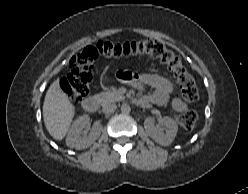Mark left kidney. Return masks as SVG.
I'll return each instance as SVG.
<instances>
[{"instance_id":"5707ae66","label":"left kidney","mask_w":248,"mask_h":194,"mask_svg":"<svg viewBox=\"0 0 248 194\" xmlns=\"http://www.w3.org/2000/svg\"><path fill=\"white\" fill-rule=\"evenodd\" d=\"M163 125L165 133L162 128L158 126H151L147 128L148 135L162 146H169L176 137L178 127L176 122L170 117L163 118Z\"/></svg>"}]
</instances>
